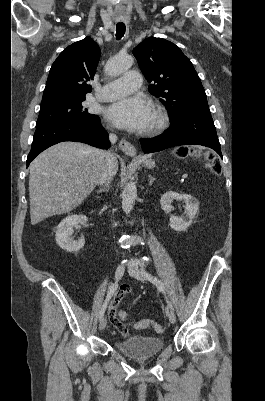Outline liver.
Instances as JSON below:
<instances>
[{
    "mask_svg": "<svg viewBox=\"0 0 265 401\" xmlns=\"http://www.w3.org/2000/svg\"><path fill=\"white\" fill-rule=\"evenodd\" d=\"M29 168L30 219L37 225L83 203L104 170L103 150L81 142H59L38 154ZM117 170L115 158L114 174Z\"/></svg>",
    "mask_w": 265,
    "mask_h": 401,
    "instance_id": "liver-1",
    "label": "liver"
}]
</instances>
